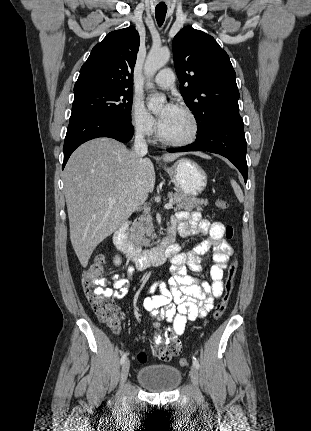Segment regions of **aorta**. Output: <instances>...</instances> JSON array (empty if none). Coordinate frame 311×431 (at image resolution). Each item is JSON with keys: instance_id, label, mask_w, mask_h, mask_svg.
I'll list each match as a JSON object with an SVG mask.
<instances>
[{"instance_id": "1", "label": "aorta", "mask_w": 311, "mask_h": 431, "mask_svg": "<svg viewBox=\"0 0 311 431\" xmlns=\"http://www.w3.org/2000/svg\"><path fill=\"white\" fill-rule=\"evenodd\" d=\"M170 60V52L168 48H158V50H150L144 64V74L147 78L146 86L147 88H153L151 84V78L155 76L156 72L166 66L167 62ZM166 102V96L164 94H150L148 108L152 112H157L160 110Z\"/></svg>"}]
</instances>
